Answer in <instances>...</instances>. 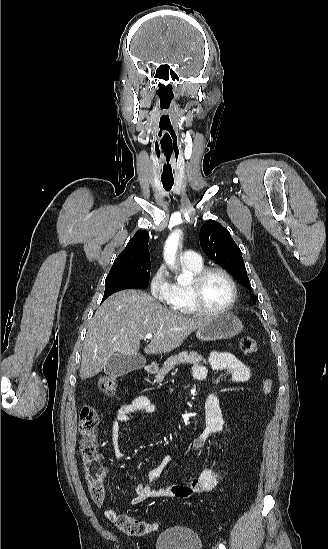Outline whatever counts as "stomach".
Wrapping results in <instances>:
<instances>
[{"label":"stomach","instance_id":"0dacf381","mask_svg":"<svg viewBox=\"0 0 328 549\" xmlns=\"http://www.w3.org/2000/svg\"><path fill=\"white\" fill-rule=\"evenodd\" d=\"M243 331V325L235 315L221 311L218 315L207 317L206 323L196 331L199 341H218V339H231ZM151 369H154L151 365Z\"/></svg>","mask_w":328,"mask_h":549}]
</instances>
